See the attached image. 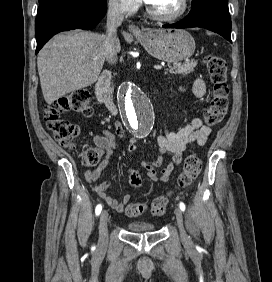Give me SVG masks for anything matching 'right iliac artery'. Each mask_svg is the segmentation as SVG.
I'll return each instance as SVG.
<instances>
[{
  "instance_id": "82829eb1",
  "label": "right iliac artery",
  "mask_w": 272,
  "mask_h": 282,
  "mask_svg": "<svg viewBox=\"0 0 272 282\" xmlns=\"http://www.w3.org/2000/svg\"><path fill=\"white\" fill-rule=\"evenodd\" d=\"M101 210H102V205L101 204L97 205L95 209L96 215H99L101 213Z\"/></svg>"
}]
</instances>
